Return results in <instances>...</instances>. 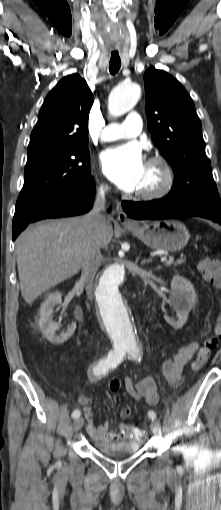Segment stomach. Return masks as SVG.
<instances>
[{
  "label": "stomach",
  "mask_w": 221,
  "mask_h": 510,
  "mask_svg": "<svg viewBox=\"0 0 221 510\" xmlns=\"http://www.w3.org/2000/svg\"><path fill=\"white\" fill-rule=\"evenodd\" d=\"M126 229L148 247L169 252L183 249L190 237L186 226L178 220L153 221Z\"/></svg>",
  "instance_id": "0dacf381"
}]
</instances>
